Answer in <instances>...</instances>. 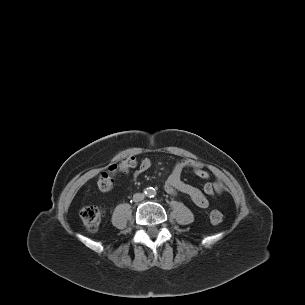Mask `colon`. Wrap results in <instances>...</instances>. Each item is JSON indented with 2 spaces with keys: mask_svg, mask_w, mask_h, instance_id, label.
<instances>
[{
  "mask_svg": "<svg viewBox=\"0 0 305 305\" xmlns=\"http://www.w3.org/2000/svg\"><path fill=\"white\" fill-rule=\"evenodd\" d=\"M140 163L138 156L134 153H128L118 162L111 164L108 170L101 174L98 180V188L102 192H108L113 188V177L117 173H127L137 167ZM81 219L90 232H96L101 226L104 216V210L97 206L84 207L80 211ZM210 221L216 225L222 222L223 215L218 210H213L210 213Z\"/></svg>",
  "mask_w": 305,
  "mask_h": 305,
  "instance_id": "obj_1",
  "label": "colon"
}]
</instances>
